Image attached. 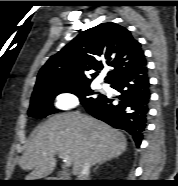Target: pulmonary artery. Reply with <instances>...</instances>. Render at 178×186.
Returning <instances> with one entry per match:
<instances>
[{"label":"pulmonary artery","instance_id":"obj_1","mask_svg":"<svg viewBox=\"0 0 178 186\" xmlns=\"http://www.w3.org/2000/svg\"><path fill=\"white\" fill-rule=\"evenodd\" d=\"M100 86L103 87V88H105L107 85L104 84V83H101Z\"/></svg>","mask_w":178,"mask_h":186}]
</instances>
